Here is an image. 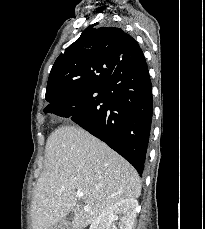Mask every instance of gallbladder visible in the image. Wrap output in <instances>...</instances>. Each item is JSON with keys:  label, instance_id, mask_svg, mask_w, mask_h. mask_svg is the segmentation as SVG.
Wrapping results in <instances>:
<instances>
[{"label": "gallbladder", "instance_id": "1", "mask_svg": "<svg viewBox=\"0 0 205 229\" xmlns=\"http://www.w3.org/2000/svg\"><path fill=\"white\" fill-rule=\"evenodd\" d=\"M74 218L73 212H70L65 218L61 219L58 223L51 226L49 229H71V222Z\"/></svg>", "mask_w": 205, "mask_h": 229}]
</instances>
